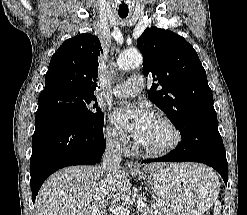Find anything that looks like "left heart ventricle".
Instances as JSON below:
<instances>
[{
	"mask_svg": "<svg viewBox=\"0 0 247 215\" xmlns=\"http://www.w3.org/2000/svg\"><path fill=\"white\" fill-rule=\"evenodd\" d=\"M170 140L171 133L168 128L156 120L141 144L148 148L158 149L167 145Z\"/></svg>",
	"mask_w": 247,
	"mask_h": 215,
	"instance_id": "1",
	"label": "left heart ventricle"
}]
</instances>
